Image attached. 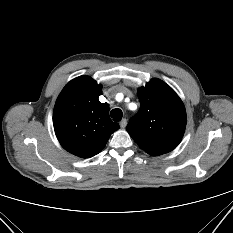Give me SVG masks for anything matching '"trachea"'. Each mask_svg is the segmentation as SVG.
Wrapping results in <instances>:
<instances>
[{"label":"trachea","mask_w":233,"mask_h":233,"mask_svg":"<svg viewBox=\"0 0 233 233\" xmlns=\"http://www.w3.org/2000/svg\"><path fill=\"white\" fill-rule=\"evenodd\" d=\"M111 117L115 122H119L122 119L123 113L120 109H113L110 113Z\"/></svg>","instance_id":"obj_1"}]
</instances>
